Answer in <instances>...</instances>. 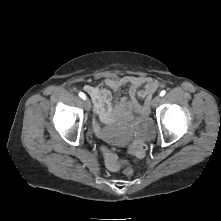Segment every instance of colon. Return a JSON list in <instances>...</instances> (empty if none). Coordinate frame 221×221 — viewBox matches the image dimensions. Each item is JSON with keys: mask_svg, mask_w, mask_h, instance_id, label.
<instances>
[{"mask_svg": "<svg viewBox=\"0 0 221 221\" xmlns=\"http://www.w3.org/2000/svg\"><path fill=\"white\" fill-rule=\"evenodd\" d=\"M147 144L142 140H136L130 148V154L136 158H143L147 152ZM102 152L104 155L106 166L112 170H118L120 168V163L118 161L117 155L110 149L102 147ZM123 173L126 176H131L133 174V168L129 164H124Z\"/></svg>", "mask_w": 221, "mask_h": 221, "instance_id": "obj_1", "label": "colon"}]
</instances>
